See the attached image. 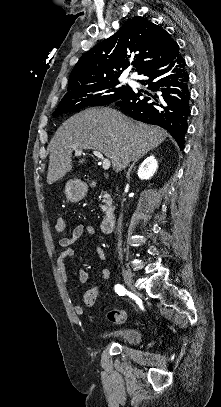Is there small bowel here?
<instances>
[{
    "label": "small bowel",
    "instance_id": "small-bowel-1",
    "mask_svg": "<svg viewBox=\"0 0 221 407\" xmlns=\"http://www.w3.org/2000/svg\"><path fill=\"white\" fill-rule=\"evenodd\" d=\"M88 234L90 236H95L96 235V229L92 225H83V224H77L73 227L71 231L70 237H63L60 238L55 247V254H56V265H57V270L59 273L60 280L63 284H68L69 282V276L67 272V267L65 260L69 257H71L74 254V250L72 248V245L84 234ZM100 250V249H99ZM100 252H102L100 250ZM100 258H104V254L100 253ZM110 275V271L108 268H103L100 273L94 278V281H99L103 279H107ZM90 282V277L89 274L87 273L86 270L80 269L76 275V283L77 287H80V284H85ZM97 296L98 292L96 290ZM85 297L86 293L84 294V302H85ZM73 310L75 314L77 315H83L84 309L83 307L78 304V303H73ZM90 319L94 317L92 313L88 315Z\"/></svg>",
    "mask_w": 221,
    "mask_h": 407
}]
</instances>
